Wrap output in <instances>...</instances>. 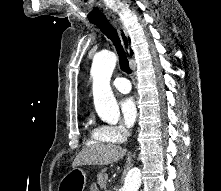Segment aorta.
Returning a JSON list of instances; mask_svg holds the SVG:
<instances>
[{
    "instance_id": "762f6f07",
    "label": "aorta",
    "mask_w": 221,
    "mask_h": 191,
    "mask_svg": "<svg viewBox=\"0 0 221 191\" xmlns=\"http://www.w3.org/2000/svg\"><path fill=\"white\" fill-rule=\"evenodd\" d=\"M116 55L111 51L94 56L91 76L95 109L103 121L116 123L120 117L117 101L110 87V79L116 66ZM141 186V170L130 169L126 175L123 191H138Z\"/></svg>"
}]
</instances>
